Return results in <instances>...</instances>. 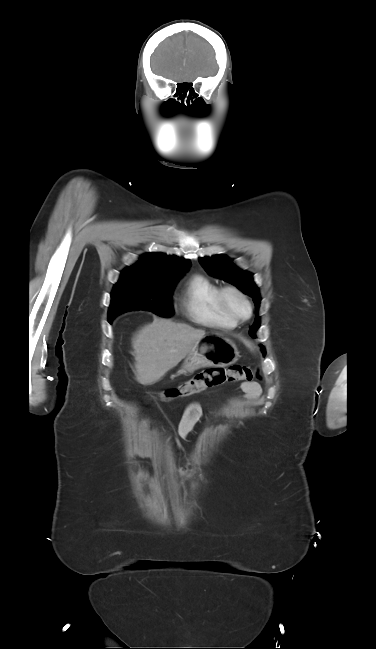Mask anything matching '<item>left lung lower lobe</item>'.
<instances>
[{"label": "left lung lower lobe", "mask_w": 376, "mask_h": 649, "mask_svg": "<svg viewBox=\"0 0 376 649\" xmlns=\"http://www.w3.org/2000/svg\"><path fill=\"white\" fill-rule=\"evenodd\" d=\"M261 349H262V351H263V353H264V347H261Z\"/></svg>", "instance_id": "obj_1"}]
</instances>
